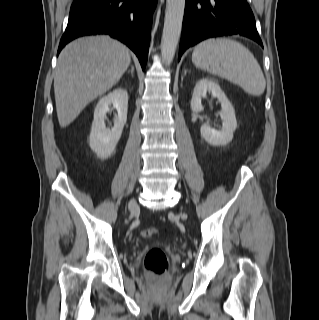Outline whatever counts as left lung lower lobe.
<instances>
[{
	"mask_svg": "<svg viewBox=\"0 0 319 320\" xmlns=\"http://www.w3.org/2000/svg\"><path fill=\"white\" fill-rule=\"evenodd\" d=\"M233 34L248 37L263 47L246 0H186L178 59L187 48L204 39Z\"/></svg>",
	"mask_w": 319,
	"mask_h": 320,
	"instance_id": "1",
	"label": "left lung lower lobe"
}]
</instances>
